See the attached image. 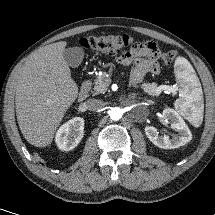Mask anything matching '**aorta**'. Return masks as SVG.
Listing matches in <instances>:
<instances>
[{
	"label": "aorta",
	"mask_w": 215,
	"mask_h": 215,
	"mask_svg": "<svg viewBox=\"0 0 215 215\" xmlns=\"http://www.w3.org/2000/svg\"><path fill=\"white\" fill-rule=\"evenodd\" d=\"M112 120H119L122 117V111L119 108H113L110 112Z\"/></svg>",
	"instance_id": "1"
}]
</instances>
